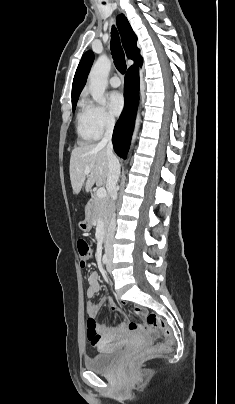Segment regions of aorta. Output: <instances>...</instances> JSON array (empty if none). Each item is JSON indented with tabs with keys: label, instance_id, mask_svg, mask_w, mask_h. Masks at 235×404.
<instances>
[{
	"label": "aorta",
	"instance_id": "aorta-1",
	"mask_svg": "<svg viewBox=\"0 0 235 404\" xmlns=\"http://www.w3.org/2000/svg\"><path fill=\"white\" fill-rule=\"evenodd\" d=\"M111 69V61L106 55H101L94 63L89 73V90L93 100L98 104L105 102L104 93L108 84V75ZM141 118L137 115L135 129L132 137V144L134 143Z\"/></svg>",
	"mask_w": 235,
	"mask_h": 404
}]
</instances>
